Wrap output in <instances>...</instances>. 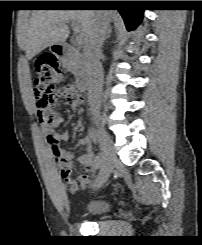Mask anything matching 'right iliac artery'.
<instances>
[{
	"mask_svg": "<svg viewBox=\"0 0 202 245\" xmlns=\"http://www.w3.org/2000/svg\"><path fill=\"white\" fill-rule=\"evenodd\" d=\"M89 137L93 140V141H97L98 139V132L96 129L94 128H91L89 129ZM104 161V155H103V152H100L97 156H96V159H95V162H96V165L97 166H101V164L103 163Z\"/></svg>",
	"mask_w": 202,
	"mask_h": 245,
	"instance_id": "82829eb1",
	"label": "right iliac artery"
}]
</instances>
